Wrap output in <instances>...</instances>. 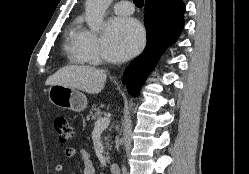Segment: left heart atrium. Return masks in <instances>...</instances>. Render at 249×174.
<instances>
[{
	"label": "left heart atrium",
	"instance_id": "1",
	"mask_svg": "<svg viewBox=\"0 0 249 174\" xmlns=\"http://www.w3.org/2000/svg\"><path fill=\"white\" fill-rule=\"evenodd\" d=\"M143 43V28L137 20L117 17L108 22L103 39L104 55L108 60L124 61L138 53Z\"/></svg>",
	"mask_w": 249,
	"mask_h": 174
}]
</instances>
